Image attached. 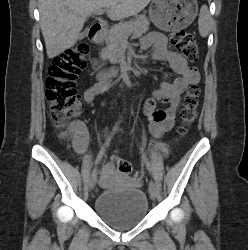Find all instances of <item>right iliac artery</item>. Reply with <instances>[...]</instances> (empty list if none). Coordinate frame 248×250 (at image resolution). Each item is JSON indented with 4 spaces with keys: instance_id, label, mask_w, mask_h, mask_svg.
I'll list each match as a JSON object with an SVG mask.
<instances>
[{
    "instance_id": "right-iliac-artery-1",
    "label": "right iliac artery",
    "mask_w": 248,
    "mask_h": 250,
    "mask_svg": "<svg viewBox=\"0 0 248 250\" xmlns=\"http://www.w3.org/2000/svg\"><path fill=\"white\" fill-rule=\"evenodd\" d=\"M119 121L116 123V125L113 127V130H112V133H111V136L108 137V139L106 140L105 142V145L104 147L106 148L110 142V139L112 137V135L118 130V125H119ZM101 154V153H100ZM96 172V168L93 169V173Z\"/></svg>"
}]
</instances>
